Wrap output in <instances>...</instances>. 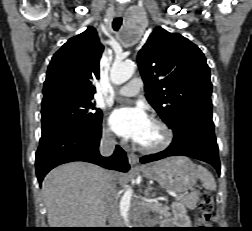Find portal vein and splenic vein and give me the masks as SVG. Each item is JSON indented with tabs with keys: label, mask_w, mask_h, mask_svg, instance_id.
<instances>
[{
	"label": "portal vein and splenic vein",
	"mask_w": 252,
	"mask_h": 231,
	"mask_svg": "<svg viewBox=\"0 0 252 231\" xmlns=\"http://www.w3.org/2000/svg\"><path fill=\"white\" fill-rule=\"evenodd\" d=\"M173 196L176 198V199H180L184 196V194H173Z\"/></svg>",
	"instance_id": "portal-vein-and-splenic-vein-1"
}]
</instances>
